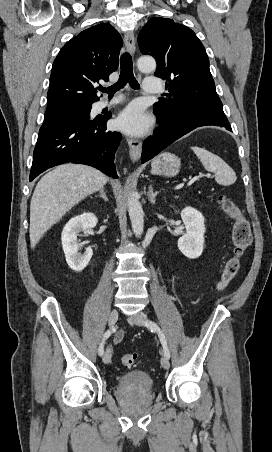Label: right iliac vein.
Returning <instances> with one entry per match:
<instances>
[{
  "label": "right iliac vein",
  "mask_w": 272,
  "mask_h": 452,
  "mask_svg": "<svg viewBox=\"0 0 272 452\" xmlns=\"http://www.w3.org/2000/svg\"><path fill=\"white\" fill-rule=\"evenodd\" d=\"M117 320H118V311L117 309H113L109 315V326L113 327L116 324ZM103 362L105 364L111 362V351L108 348L105 350V353L103 355Z\"/></svg>",
  "instance_id": "obj_1"
}]
</instances>
